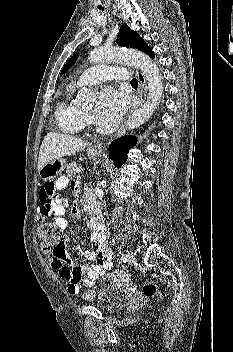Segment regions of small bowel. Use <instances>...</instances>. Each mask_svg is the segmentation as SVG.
Masks as SVG:
<instances>
[{
    "mask_svg": "<svg viewBox=\"0 0 233 352\" xmlns=\"http://www.w3.org/2000/svg\"><path fill=\"white\" fill-rule=\"evenodd\" d=\"M67 178L62 176L56 181L44 183L40 189V221L51 223L61 230H65L68 221L63 217L67 208V202L61 197L60 191L67 185ZM75 190L76 186L73 187ZM74 216L79 215L76 205L71 208ZM92 235L90 247L85 252L88 260L94 261L91 265L75 266L66 253V245L71 242V238L66 236L62 243L53 248L44 246L43 253L51 267L57 270L62 278L67 282V290L70 294H78L81 285L91 287L97 279L110 271L113 267L111 251L106 243L104 226L100 217L91 221Z\"/></svg>",
    "mask_w": 233,
    "mask_h": 352,
    "instance_id": "small-bowel-1",
    "label": "small bowel"
}]
</instances>
